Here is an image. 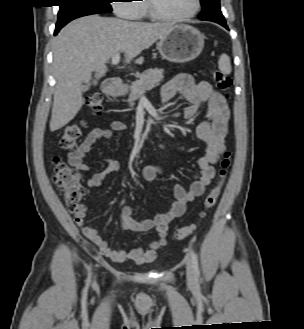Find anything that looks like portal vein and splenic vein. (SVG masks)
Wrapping results in <instances>:
<instances>
[{
  "label": "portal vein and splenic vein",
  "instance_id": "18ae733b",
  "mask_svg": "<svg viewBox=\"0 0 304 329\" xmlns=\"http://www.w3.org/2000/svg\"><path fill=\"white\" fill-rule=\"evenodd\" d=\"M120 61V55L119 54H115L112 56V59H111V63L112 65H117Z\"/></svg>",
  "mask_w": 304,
  "mask_h": 329
}]
</instances>
